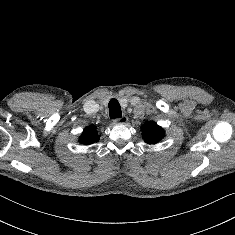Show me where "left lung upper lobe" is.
Returning a JSON list of instances; mask_svg holds the SVG:
<instances>
[{"label": "left lung upper lobe", "instance_id": "5c2ea615", "mask_svg": "<svg viewBox=\"0 0 235 235\" xmlns=\"http://www.w3.org/2000/svg\"><path fill=\"white\" fill-rule=\"evenodd\" d=\"M144 141L148 144H155L164 138V130L155 122L149 121L142 125Z\"/></svg>", "mask_w": 235, "mask_h": 235}]
</instances>
